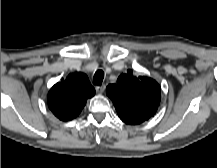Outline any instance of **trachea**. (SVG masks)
I'll return each mask as SVG.
<instances>
[{"instance_id": "1", "label": "trachea", "mask_w": 217, "mask_h": 168, "mask_svg": "<svg viewBox=\"0 0 217 168\" xmlns=\"http://www.w3.org/2000/svg\"><path fill=\"white\" fill-rule=\"evenodd\" d=\"M103 79H104V72L102 70H98L94 74L93 83L95 85L100 86L102 84Z\"/></svg>"}]
</instances>
